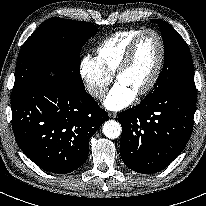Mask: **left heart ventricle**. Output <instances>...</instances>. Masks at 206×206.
I'll list each match as a JSON object with an SVG mask.
<instances>
[{"mask_svg": "<svg viewBox=\"0 0 206 206\" xmlns=\"http://www.w3.org/2000/svg\"><path fill=\"white\" fill-rule=\"evenodd\" d=\"M160 54V45L153 34L144 35L135 51L132 62L121 74L117 82L130 88L135 94L143 89L151 79Z\"/></svg>", "mask_w": 206, "mask_h": 206, "instance_id": "left-heart-ventricle-1", "label": "left heart ventricle"}]
</instances>
